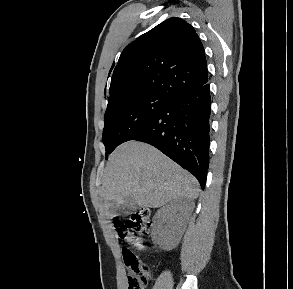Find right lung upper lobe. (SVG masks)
<instances>
[{
    "label": "right lung upper lobe",
    "instance_id": "1",
    "mask_svg": "<svg viewBox=\"0 0 293 289\" xmlns=\"http://www.w3.org/2000/svg\"><path fill=\"white\" fill-rule=\"evenodd\" d=\"M207 82L205 51L195 29L172 17L125 47L112 75L108 106L144 94L172 100Z\"/></svg>",
    "mask_w": 293,
    "mask_h": 289
}]
</instances>
